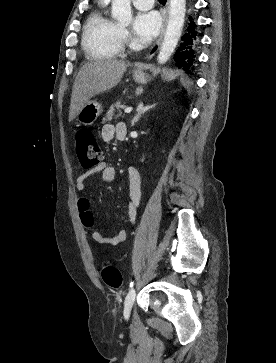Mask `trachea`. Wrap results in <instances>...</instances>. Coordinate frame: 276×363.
I'll return each instance as SVG.
<instances>
[{"mask_svg":"<svg viewBox=\"0 0 276 363\" xmlns=\"http://www.w3.org/2000/svg\"><path fill=\"white\" fill-rule=\"evenodd\" d=\"M159 2H161L162 4H165L166 0H159Z\"/></svg>","mask_w":276,"mask_h":363,"instance_id":"1","label":"trachea"}]
</instances>
